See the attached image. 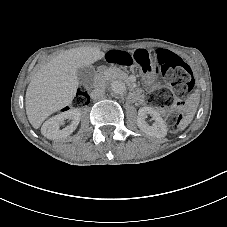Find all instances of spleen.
<instances>
[{
  "mask_svg": "<svg viewBox=\"0 0 227 227\" xmlns=\"http://www.w3.org/2000/svg\"><path fill=\"white\" fill-rule=\"evenodd\" d=\"M190 120H191V117L190 116H187L185 119H184V121L181 123V125H180V129H183L189 122H190Z\"/></svg>",
  "mask_w": 227,
  "mask_h": 227,
  "instance_id": "obj_1",
  "label": "spleen"
}]
</instances>
